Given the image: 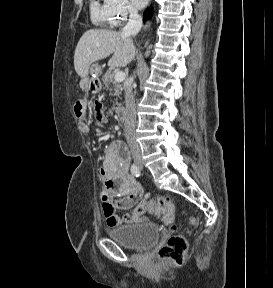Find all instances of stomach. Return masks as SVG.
<instances>
[{
  "mask_svg": "<svg viewBox=\"0 0 273 288\" xmlns=\"http://www.w3.org/2000/svg\"><path fill=\"white\" fill-rule=\"evenodd\" d=\"M101 73V66L97 63L93 64L90 68V74L93 76L91 79L83 80L86 88L92 93H99L101 91V83L98 75Z\"/></svg>",
  "mask_w": 273,
  "mask_h": 288,
  "instance_id": "obj_1",
  "label": "stomach"
}]
</instances>
